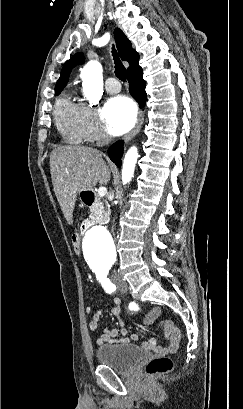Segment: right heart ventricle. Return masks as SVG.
<instances>
[{
	"label": "right heart ventricle",
	"instance_id": "obj_1",
	"mask_svg": "<svg viewBox=\"0 0 243 409\" xmlns=\"http://www.w3.org/2000/svg\"><path fill=\"white\" fill-rule=\"evenodd\" d=\"M78 104L70 95L61 96L55 103L54 119L62 137L69 143L82 141L78 126Z\"/></svg>",
	"mask_w": 243,
	"mask_h": 409
}]
</instances>
